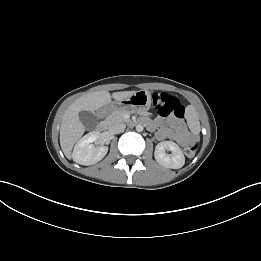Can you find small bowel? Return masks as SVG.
<instances>
[{
  "label": "small bowel",
  "instance_id": "c3829d8e",
  "mask_svg": "<svg viewBox=\"0 0 261 261\" xmlns=\"http://www.w3.org/2000/svg\"><path fill=\"white\" fill-rule=\"evenodd\" d=\"M145 123L151 129L157 124L160 125L155 134L157 140L172 139L181 146L191 145L196 141V137L187 130L181 120L169 118L153 122L145 119Z\"/></svg>",
  "mask_w": 261,
  "mask_h": 261
}]
</instances>
